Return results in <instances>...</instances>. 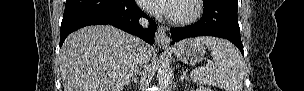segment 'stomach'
<instances>
[{
  "instance_id": "1",
  "label": "stomach",
  "mask_w": 304,
  "mask_h": 91,
  "mask_svg": "<svg viewBox=\"0 0 304 91\" xmlns=\"http://www.w3.org/2000/svg\"><path fill=\"white\" fill-rule=\"evenodd\" d=\"M174 54L183 63L195 64L203 59L205 47L198 39H186L176 45Z\"/></svg>"
}]
</instances>
